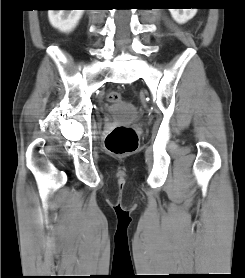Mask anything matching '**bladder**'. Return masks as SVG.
<instances>
[{"label": "bladder", "mask_w": 245, "mask_h": 278, "mask_svg": "<svg viewBox=\"0 0 245 278\" xmlns=\"http://www.w3.org/2000/svg\"><path fill=\"white\" fill-rule=\"evenodd\" d=\"M108 119H116L122 123H131L138 118V112L130 104L117 102L108 111Z\"/></svg>", "instance_id": "obj_1"}]
</instances>
